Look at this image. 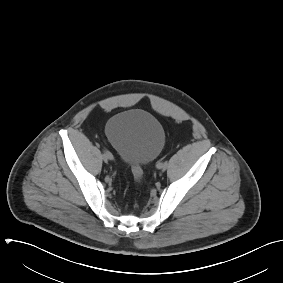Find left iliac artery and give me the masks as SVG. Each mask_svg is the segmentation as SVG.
<instances>
[{
	"label": "left iliac artery",
	"instance_id": "obj_1",
	"mask_svg": "<svg viewBox=\"0 0 283 283\" xmlns=\"http://www.w3.org/2000/svg\"><path fill=\"white\" fill-rule=\"evenodd\" d=\"M163 163L167 165V161H164V162H163V161H159V162L157 163V167H158L159 165L163 164Z\"/></svg>",
	"mask_w": 283,
	"mask_h": 283
}]
</instances>
